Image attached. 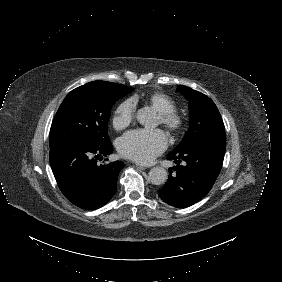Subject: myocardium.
<instances>
[{"label": "myocardium", "mask_w": 282, "mask_h": 282, "mask_svg": "<svg viewBox=\"0 0 282 282\" xmlns=\"http://www.w3.org/2000/svg\"><path fill=\"white\" fill-rule=\"evenodd\" d=\"M158 118L159 123L170 131L177 130L181 124V119L175 112H159Z\"/></svg>", "instance_id": "1"}]
</instances>
